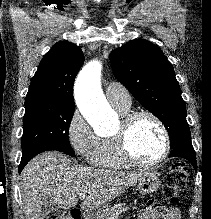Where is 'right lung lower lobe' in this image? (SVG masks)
Here are the masks:
<instances>
[{
    "instance_id": "98d812e1",
    "label": "right lung lower lobe",
    "mask_w": 211,
    "mask_h": 219,
    "mask_svg": "<svg viewBox=\"0 0 211 219\" xmlns=\"http://www.w3.org/2000/svg\"><path fill=\"white\" fill-rule=\"evenodd\" d=\"M41 152L35 153L33 155H30L28 157H24L21 159L20 165H19V173H21L22 169L25 167V165L37 154H39Z\"/></svg>"
}]
</instances>
